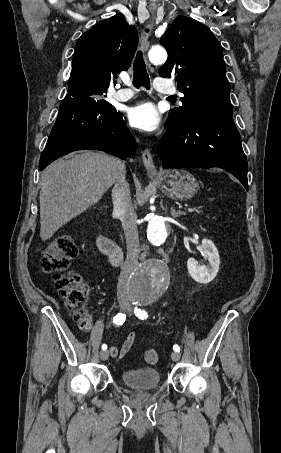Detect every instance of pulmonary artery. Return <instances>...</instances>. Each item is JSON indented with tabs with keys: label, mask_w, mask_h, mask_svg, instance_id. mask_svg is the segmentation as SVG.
Returning <instances> with one entry per match:
<instances>
[{
	"label": "pulmonary artery",
	"mask_w": 281,
	"mask_h": 453,
	"mask_svg": "<svg viewBox=\"0 0 281 453\" xmlns=\"http://www.w3.org/2000/svg\"><path fill=\"white\" fill-rule=\"evenodd\" d=\"M156 79H161V78H156ZM122 82L127 83L128 78L127 77H121ZM174 91H166L165 93H173ZM179 96H182V93L177 92ZM134 96V92L128 88H121L117 90L114 94V99L120 102L123 101H128Z\"/></svg>",
	"instance_id": "obj_1"
}]
</instances>
